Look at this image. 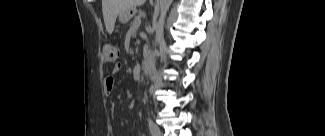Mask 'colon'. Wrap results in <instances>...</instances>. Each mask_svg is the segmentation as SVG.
Masks as SVG:
<instances>
[{"instance_id": "1", "label": "colon", "mask_w": 325, "mask_h": 136, "mask_svg": "<svg viewBox=\"0 0 325 136\" xmlns=\"http://www.w3.org/2000/svg\"><path fill=\"white\" fill-rule=\"evenodd\" d=\"M102 54L106 63L113 64L117 61L119 51L115 45L106 43L102 46Z\"/></svg>"}]
</instances>
